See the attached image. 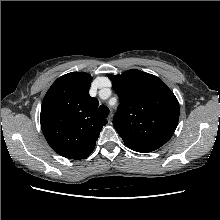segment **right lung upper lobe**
<instances>
[{"mask_svg": "<svg viewBox=\"0 0 220 220\" xmlns=\"http://www.w3.org/2000/svg\"><path fill=\"white\" fill-rule=\"evenodd\" d=\"M91 81L85 72L65 74L51 85L42 102L40 123L45 139L69 159L87 157L107 124L97 113L98 100L89 95Z\"/></svg>", "mask_w": 220, "mask_h": 220, "instance_id": "right-lung-upper-lobe-1", "label": "right lung upper lobe"}]
</instances>
